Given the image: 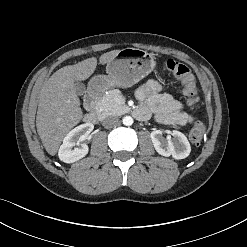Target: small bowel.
<instances>
[{"instance_id":"1","label":"small bowel","mask_w":247,"mask_h":247,"mask_svg":"<svg viewBox=\"0 0 247 247\" xmlns=\"http://www.w3.org/2000/svg\"><path fill=\"white\" fill-rule=\"evenodd\" d=\"M136 97L141 102L136 110L140 119H146L154 114L158 121L164 124L186 125L191 123V115L182 111V103L165 92L162 84L156 80H148L136 89Z\"/></svg>"}]
</instances>
